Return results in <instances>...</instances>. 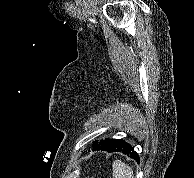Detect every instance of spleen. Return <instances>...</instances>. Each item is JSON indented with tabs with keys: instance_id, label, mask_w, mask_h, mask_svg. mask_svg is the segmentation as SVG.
Listing matches in <instances>:
<instances>
[{
	"instance_id": "spleen-1",
	"label": "spleen",
	"mask_w": 194,
	"mask_h": 178,
	"mask_svg": "<svg viewBox=\"0 0 194 178\" xmlns=\"http://www.w3.org/2000/svg\"><path fill=\"white\" fill-rule=\"evenodd\" d=\"M112 169L113 178H134L132 168L121 160H115Z\"/></svg>"
}]
</instances>
